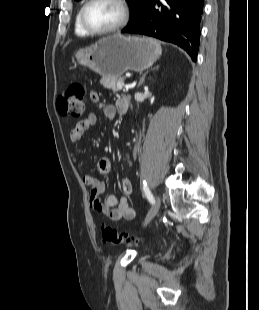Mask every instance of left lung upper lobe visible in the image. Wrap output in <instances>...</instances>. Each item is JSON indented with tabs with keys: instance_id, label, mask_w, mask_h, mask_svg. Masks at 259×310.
<instances>
[{
	"instance_id": "left-lung-upper-lobe-1",
	"label": "left lung upper lobe",
	"mask_w": 259,
	"mask_h": 310,
	"mask_svg": "<svg viewBox=\"0 0 259 310\" xmlns=\"http://www.w3.org/2000/svg\"><path fill=\"white\" fill-rule=\"evenodd\" d=\"M147 1L148 0H127V2L130 5V8H131V20H130V23L135 21L138 18L139 14L141 12L142 7L145 5V3Z\"/></svg>"
}]
</instances>
